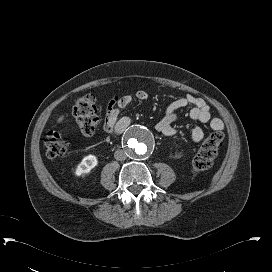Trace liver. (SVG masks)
Returning <instances> with one entry per match:
<instances>
[{"label":"liver","mask_w":272,"mask_h":272,"mask_svg":"<svg viewBox=\"0 0 272 272\" xmlns=\"http://www.w3.org/2000/svg\"><path fill=\"white\" fill-rule=\"evenodd\" d=\"M64 119V115H61L58 119H57V123H61Z\"/></svg>","instance_id":"1"}]
</instances>
